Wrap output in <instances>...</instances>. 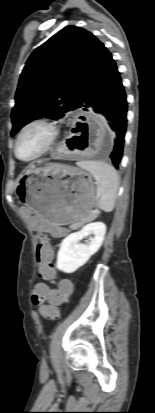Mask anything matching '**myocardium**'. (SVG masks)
I'll use <instances>...</instances> for the list:
<instances>
[{"mask_svg": "<svg viewBox=\"0 0 155 413\" xmlns=\"http://www.w3.org/2000/svg\"><path fill=\"white\" fill-rule=\"evenodd\" d=\"M35 125H43L46 128H48V130L50 131V137H49V140H48L47 144L45 145V147L37 155H35V156H33L29 159H24V158L20 157L19 154H18L19 141H20L22 135L25 133V131L28 130L30 127L35 126ZM57 136H58V129L52 121H50L48 119H45V118L33 119V120L27 122L20 129V131L18 132L16 140H15V144H14V154H15L16 158L20 161H23V162L34 161V160L42 157L43 155H45L51 149V147L53 146V144L56 141Z\"/></svg>", "mask_w": 155, "mask_h": 413, "instance_id": "f54148a6", "label": "myocardium"}]
</instances>
